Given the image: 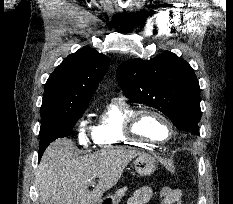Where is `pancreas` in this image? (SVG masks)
<instances>
[{"instance_id": "obj_1", "label": "pancreas", "mask_w": 233, "mask_h": 204, "mask_svg": "<svg viewBox=\"0 0 233 204\" xmlns=\"http://www.w3.org/2000/svg\"><path fill=\"white\" fill-rule=\"evenodd\" d=\"M126 191H127V187H122L120 189H117L116 193L113 196L114 204H118L120 199L125 195Z\"/></svg>"}]
</instances>
